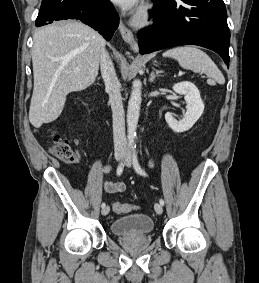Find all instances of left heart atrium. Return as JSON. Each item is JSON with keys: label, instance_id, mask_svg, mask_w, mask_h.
Returning a JSON list of instances; mask_svg holds the SVG:
<instances>
[{"label": "left heart atrium", "instance_id": "obj_1", "mask_svg": "<svg viewBox=\"0 0 259 283\" xmlns=\"http://www.w3.org/2000/svg\"><path fill=\"white\" fill-rule=\"evenodd\" d=\"M112 2L125 10H133L138 6L139 0H112Z\"/></svg>", "mask_w": 259, "mask_h": 283}]
</instances>
